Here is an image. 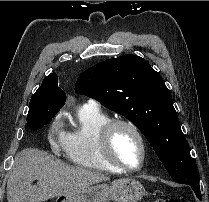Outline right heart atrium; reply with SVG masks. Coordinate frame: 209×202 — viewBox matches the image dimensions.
Wrapping results in <instances>:
<instances>
[{
  "instance_id": "obj_1",
  "label": "right heart atrium",
  "mask_w": 209,
  "mask_h": 202,
  "mask_svg": "<svg viewBox=\"0 0 209 202\" xmlns=\"http://www.w3.org/2000/svg\"><path fill=\"white\" fill-rule=\"evenodd\" d=\"M66 131L64 130L62 120L59 116L52 118L46 129V137L51 143L54 151L64 148L66 143Z\"/></svg>"
}]
</instances>
